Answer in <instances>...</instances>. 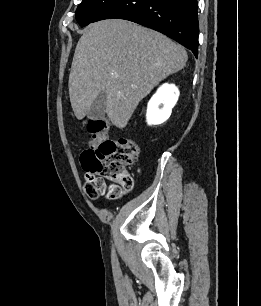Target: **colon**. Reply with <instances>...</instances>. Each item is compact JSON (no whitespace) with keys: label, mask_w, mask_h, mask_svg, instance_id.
Masks as SVG:
<instances>
[{"label":"colon","mask_w":261,"mask_h":306,"mask_svg":"<svg viewBox=\"0 0 261 306\" xmlns=\"http://www.w3.org/2000/svg\"><path fill=\"white\" fill-rule=\"evenodd\" d=\"M87 127L92 141L90 147L83 151L81 163L86 172L89 197L95 199L100 193L108 191L113 196L120 189L131 188L132 178L128 167L139 154L137 143L129 138L110 140L105 119H90ZM106 181L112 183L108 188Z\"/></svg>","instance_id":"1"}]
</instances>
